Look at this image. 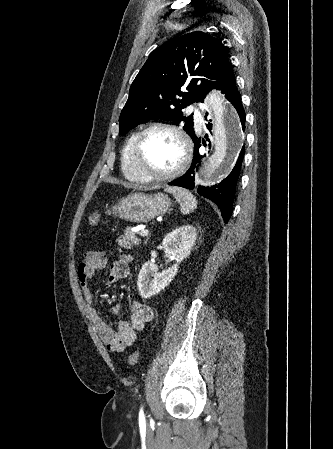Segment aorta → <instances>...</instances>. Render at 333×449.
<instances>
[{
	"instance_id": "762f6f07",
	"label": "aorta",
	"mask_w": 333,
	"mask_h": 449,
	"mask_svg": "<svg viewBox=\"0 0 333 449\" xmlns=\"http://www.w3.org/2000/svg\"><path fill=\"white\" fill-rule=\"evenodd\" d=\"M207 102L214 114V150L201 161L198 178L211 184L234 159L242 143V135L237 115L227 98L219 92H212Z\"/></svg>"
}]
</instances>
